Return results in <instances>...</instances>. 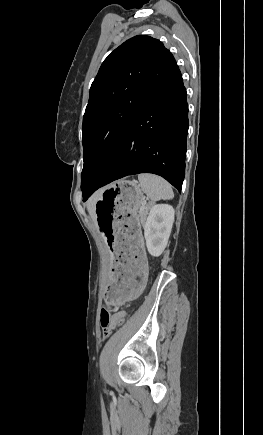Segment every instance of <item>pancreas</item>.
Segmentation results:
<instances>
[{"instance_id": "1", "label": "pancreas", "mask_w": 263, "mask_h": 435, "mask_svg": "<svg viewBox=\"0 0 263 435\" xmlns=\"http://www.w3.org/2000/svg\"><path fill=\"white\" fill-rule=\"evenodd\" d=\"M151 205H152L151 203L147 204V205L145 206V209H144L143 211H140V212H139V218H140L141 224H144V223H145V221H146V217H147V215H148V211H149Z\"/></svg>"}]
</instances>
